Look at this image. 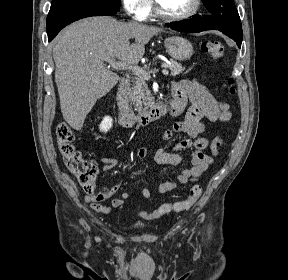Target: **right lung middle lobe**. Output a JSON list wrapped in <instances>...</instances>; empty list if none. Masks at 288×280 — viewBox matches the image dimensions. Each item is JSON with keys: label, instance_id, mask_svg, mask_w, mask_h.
I'll return each mask as SVG.
<instances>
[{"label": "right lung middle lobe", "instance_id": "1", "mask_svg": "<svg viewBox=\"0 0 288 280\" xmlns=\"http://www.w3.org/2000/svg\"><path fill=\"white\" fill-rule=\"evenodd\" d=\"M74 1H80V0H52L50 9H54L60 5L74 2ZM91 1H95L98 3L104 4V5L112 8L116 11H119V9H120V0H91Z\"/></svg>", "mask_w": 288, "mask_h": 280}]
</instances>
